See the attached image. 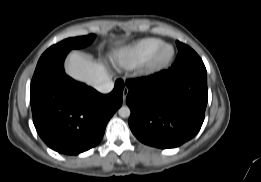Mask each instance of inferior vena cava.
Segmentation results:
<instances>
[{
  "label": "inferior vena cava",
  "mask_w": 261,
  "mask_h": 182,
  "mask_svg": "<svg viewBox=\"0 0 261 182\" xmlns=\"http://www.w3.org/2000/svg\"><path fill=\"white\" fill-rule=\"evenodd\" d=\"M94 88L101 93H109L114 88V82L111 79H106L100 83L94 85Z\"/></svg>",
  "instance_id": "602c4592"
}]
</instances>
